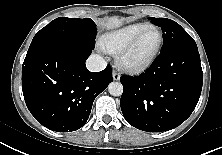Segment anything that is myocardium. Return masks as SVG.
<instances>
[{"label":"myocardium","mask_w":222,"mask_h":155,"mask_svg":"<svg viewBox=\"0 0 222 155\" xmlns=\"http://www.w3.org/2000/svg\"><path fill=\"white\" fill-rule=\"evenodd\" d=\"M150 31H156L159 35V42L155 48V50L152 52V54L149 56V58L139 64H134L128 61L129 55L132 53V51L136 48V46L139 44V42L144 38L146 34H148ZM163 45V34L162 31L156 27L151 26L141 32L137 37H135L129 44H127L123 49H121L118 52L117 55V63L118 66L131 74H140L148 70L153 63L155 62L156 58L158 57Z\"/></svg>","instance_id":"obj_1"}]
</instances>
